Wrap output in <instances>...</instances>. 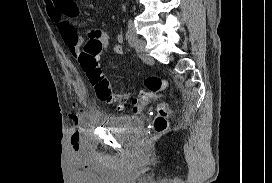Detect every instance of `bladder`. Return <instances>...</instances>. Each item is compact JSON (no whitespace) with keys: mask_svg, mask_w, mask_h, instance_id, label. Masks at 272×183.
Wrapping results in <instances>:
<instances>
[{"mask_svg":"<svg viewBox=\"0 0 272 183\" xmlns=\"http://www.w3.org/2000/svg\"><path fill=\"white\" fill-rule=\"evenodd\" d=\"M100 123L107 128L137 133L143 125V119L134 115H110L102 117Z\"/></svg>","mask_w":272,"mask_h":183,"instance_id":"obj_1","label":"bladder"}]
</instances>
